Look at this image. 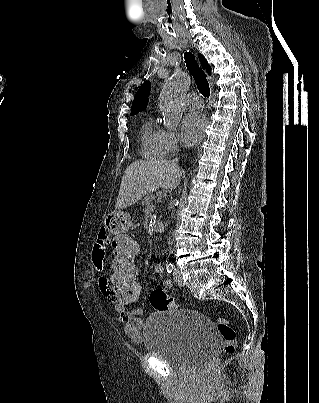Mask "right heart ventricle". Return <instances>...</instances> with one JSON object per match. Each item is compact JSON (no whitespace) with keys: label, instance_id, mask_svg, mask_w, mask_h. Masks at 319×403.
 I'll return each instance as SVG.
<instances>
[{"label":"right heart ventricle","instance_id":"e07e8e85","mask_svg":"<svg viewBox=\"0 0 319 403\" xmlns=\"http://www.w3.org/2000/svg\"><path fill=\"white\" fill-rule=\"evenodd\" d=\"M141 154L147 159H160L166 154L164 130L151 119L142 126Z\"/></svg>","mask_w":319,"mask_h":403}]
</instances>
